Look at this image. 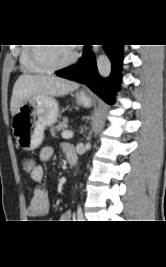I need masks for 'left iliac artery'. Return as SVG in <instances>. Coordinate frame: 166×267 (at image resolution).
<instances>
[{
  "label": "left iliac artery",
  "instance_id": "obj_1",
  "mask_svg": "<svg viewBox=\"0 0 166 267\" xmlns=\"http://www.w3.org/2000/svg\"><path fill=\"white\" fill-rule=\"evenodd\" d=\"M77 219H78V221L84 220L83 211H82L80 206H78V208H77Z\"/></svg>",
  "mask_w": 166,
  "mask_h": 267
}]
</instances>
